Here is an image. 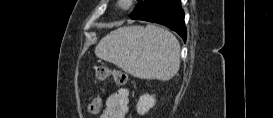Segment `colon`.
I'll return each instance as SVG.
<instances>
[{
    "label": "colon",
    "mask_w": 273,
    "mask_h": 118,
    "mask_svg": "<svg viewBox=\"0 0 273 118\" xmlns=\"http://www.w3.org/2000/svg\"><path fill=\"white\" fill-rule=\"evenodd\" d=\"M95 75L97 80L104 81L108 77L112 76L114 81L118 85H124L127 82V74L123 71L111 69L104 65H98L95 69ZM103 101L100 97L94 98L88 105L90 113H98L102 107Z\"/></svg>",
    "instance_id": "5ec220e1"
}]
</instances>
